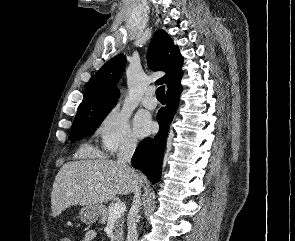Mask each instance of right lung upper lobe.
Segmentation results:
<instances>
[{
  "mask_svg": "<svg viewBox=\"0 0 295 241\" xmlns=\"http://www.w3.org/2000/svg\"><path fill=\"white\" fill-rule=\"evenodd\" d=\"M152 70L165 71L166 75L156 82L168 88L179 84L182 77L183 57L169 35L162 29L155 32L147 54ZM126 58L119 54L104 64L89 81L79 109L93 108L116 102L119 90L115 88L125 67Z\"/></svg>",
  "mask_w": 295,
  "mask_h": 241,
  "instance_id": "right-lung-upper-lobe-1",
  "label": "right lung upper lobe"
}]
</instances>
